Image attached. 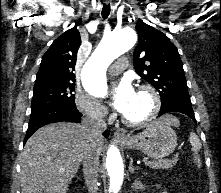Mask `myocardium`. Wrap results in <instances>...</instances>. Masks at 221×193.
<instances>
[{"label": "myocardium", "instance_id": "myocardium-1", "mask_svg": "<svg viewBox=\"0 0 221 193\" xmlns=\"http://www.w3.org/2000/svg\"><path fill=\"white\" fill-rule=\"evenodd\" d=\"M138 92L146 93L151 98V109L141 119H130L125 115L122 116V121L131 127H140L150 123L158 114L160 110L161 100L158 91L149 84H142L138 87Z\"/></svg>", "mask_w": 221, "mask_h": 193}]
</instances>
